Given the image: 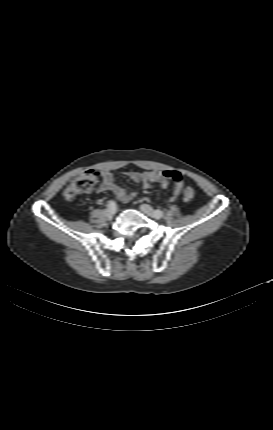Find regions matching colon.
Masks as SVG:
<instances>
[{
  "label": "colon",
  "mask_w": 273,
  "mask_h": 430,
  "mask_svg": "<svg viewBox=\"0 0 273 430\" xmlns=\"http://www.w3.org/2000/svg\"><path fill=\"white\" fill-rule=\"evenodd\" d=\"M100 174L93 170H85L77 174L64 191V196L71 199L78 194L87 193L96 185ZM195 190L192 187H187L184 192V197L188 200L194 198Z\"/></svg>",
  "instance_id": "5ec220e1"
}]
</instances>
